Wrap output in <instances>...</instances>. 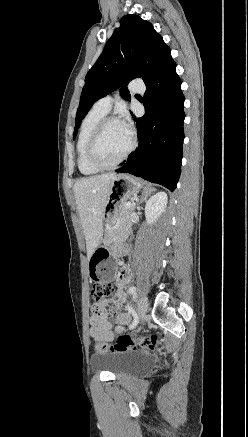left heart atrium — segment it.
Instances as JSON below:
<instances>
[{"instance_id": "left-heart-atrium-1", "label": "left heart atrium", "mask_w": 248, "mask_h": 437, "mask_svg": "<svg viewBox=\"0 0 248 437\" xmlns=\"http://www.w3.org/2000/svg\"><path fill=\"white\" fill-rule=\"evenodd\" d=\"M119 123H120L121 127L123 128V130L126 132V134H128L131 137L132 125H131L129 118L127 116H125Z\"/></svg>"}]
</instances>
